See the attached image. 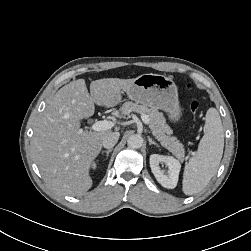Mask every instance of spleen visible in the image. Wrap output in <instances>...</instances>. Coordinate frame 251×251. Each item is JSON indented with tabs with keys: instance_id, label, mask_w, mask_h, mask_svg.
Returning a JSON list of instances; mask_svg holds the SVG:
<instances>
[{
	"instance_id": "spleen-1",
	"label": "spleen",
	"mask_w": 251,
	"mask_h": 251,
	"mask_svg": "<svg viewBox=\"0 0 251 251\" xmlns=\"http://www.w3.org/2000/svg\"><path fill=\"white\" fill-rule=\"evenodd\" d=\"M204 136L198 150L184 168L183 192L193 195L202 191L216 173L222 159L224 131L220 115L215 108H209L205 116Z\"/></svg>"
}]
</instances>
